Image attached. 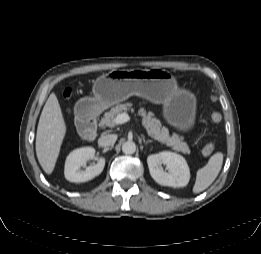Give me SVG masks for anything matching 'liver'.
Masks as SVG:
<instances>
[{
  "label": "liver",
  "instance_id": "6515ba94",
  "mask_svg": "<svg viewBox=\"0 0 261 254\" xmlns=\"http://www.w3.org/2000/svg\"><path fill=\"white\" fill-rule=\"evenodd\" d=\"M65 134L66 124L58 99L51 93L41 112L36 134V155L46 174L55 168Z\"/></svg>",
  "mask_w": 261,
  "mask_h": 254
}]
</instances>
